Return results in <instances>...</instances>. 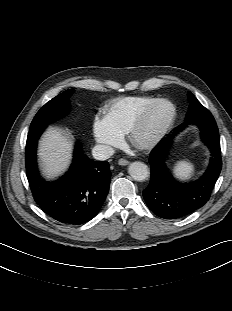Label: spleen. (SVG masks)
<instances>
[{"instance_id":"1","label":"spleen","mask_w":232,"mask_h":311,"mask_svg":"<svg viewBox=\"0 0 232 311\" xmlns=\"http://www.w3.org/2000/svg\"><path fill=\"white\" fill-rule=\"evenodd\" d=\"M194 172L193 165L188 161H178L174 167V174L180 179H189Z\"/></svg>"}]
</instances>
